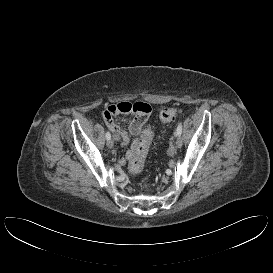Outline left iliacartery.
<instances>
[{"label":"left iliac artery","mask_w":273,"mask_h":273,"mask_svg":"<svg viewBox=\"0 0 273 273\" xmlns=\"http://www.w3.org/2000/svg\"><path fill=\"white\" fill-rule=\"evenodd\" d=\"M176 134L181 135L182 134V123H179L176 129Z\"/></svg>","instance_id":"1"}]
</instances>
